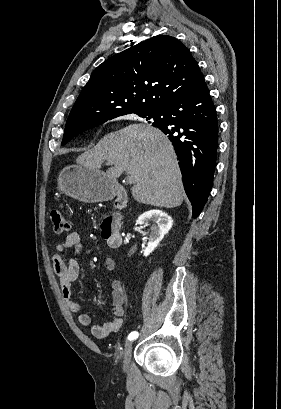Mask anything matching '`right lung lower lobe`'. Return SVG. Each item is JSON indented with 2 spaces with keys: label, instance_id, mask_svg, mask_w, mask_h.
<instances>
[{
  "label": "right lung lower lobe",
  "instance_id": "1",
  "mask_svg": "<svg viewBox=\"0 0 281 409\" xmlns=\"http://www.w3.org/2000/svg\"><path fill=\"white\" fill-rule=\"evenodd\" d=\"M155 116L153 125L168 134L174 146L196 218L212 187L218 146L216 110L203 75L183 95L156 111Z\"/></svg>",
  "mask_w": 281,
  "mask_h": 409
}]
</instances>
